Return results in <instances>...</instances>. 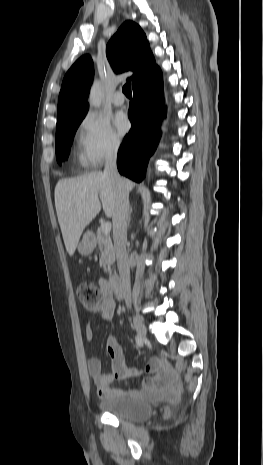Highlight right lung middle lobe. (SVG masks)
<instances>
[{"mask_svg":"<svg viewBox=\"0 0 263 465\" xmlns=\"http://www.w3.org/2000/svg\"><path fill=\"white\" fill-rule=\"evenodd\" d=\"M86 113L87 110L74 112L57 123L56 158L59 163L68 158L74 134Z\"/></svg>","mask_w":263,"mask_h":465,"instance_id":"obj_1","label":"right lung middle lobe"}]
</instances>
